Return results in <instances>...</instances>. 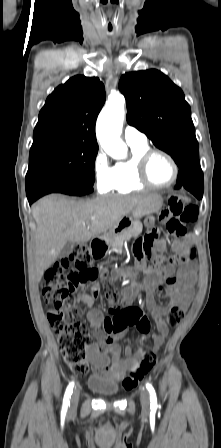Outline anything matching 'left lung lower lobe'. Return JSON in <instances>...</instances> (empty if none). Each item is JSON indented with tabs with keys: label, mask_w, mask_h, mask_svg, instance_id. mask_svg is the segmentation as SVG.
I'll use <instances>...</instances> for the list:
<instances>
[{
	"label": "left lung lower lobe",
	"mask_w": 221,
	"mask_h": 448,
	"mask_svg": "<svg viewBox=\"0 0 221 448\" xmlns=\"http://www.w3.org/2000/svg\"><path fill=\"white\" fill-rule=\"evenodd\" d=\"M204 178L200 166H193L186 169H181L178 173L176 182V189L184 187L198 199L203 196Z\"/></svg>",
	"instance_id": "1"
}]
</instances>
